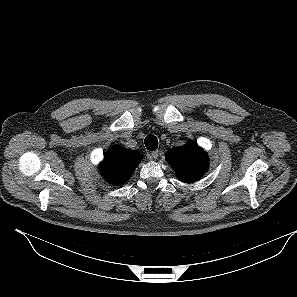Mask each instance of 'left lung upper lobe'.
<instances>
[{
  "label": "left lung upper lobe",
  "instance_id": "1",
  "mask_svg": "<svg viewBox=\"0 0 297 297\" xmlns=\"http://www.w3.org/2000/svg\"><path fill=\"white\" fill-rule=\"evenodd\" d=\"M165 159L179 180L185 183H192L201 178L209 166L206 152L193 141L168 150Z\"/></svg>",
  "mask_w": 297,
  "mask_h": 297
}]
</instances>
